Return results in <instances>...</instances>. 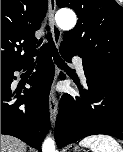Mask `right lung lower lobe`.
Instances as JSON below:
<instances>
[{
	"mask_svg": "<svg viewBox=\"0 0 123 152\" xmlns=\"http://www.w3.org/2000/svg\"><path fill=\"white\" fill-rule=\"evenodd\" d=\"M36 72L30 77V89L11 91L13 73L27 67H1V134L12 135L31 147L41 150L49 129L48 97L54 76V64L49 49L44 46L38 53Z\"/></svg>",
	"mask_w": 123,
	"mask_h": 152,
	"instance_id": "98d812e1",
	"label": "right lung lower lobe"
}]
</instances>
